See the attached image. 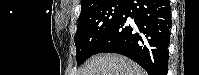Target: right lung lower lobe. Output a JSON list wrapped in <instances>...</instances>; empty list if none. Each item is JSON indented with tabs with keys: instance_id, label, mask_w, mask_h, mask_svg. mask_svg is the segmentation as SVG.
Returning <instances> with one entry per match:
<instances>
[{
	"instance_id": "right-lung-lower-lobe-1",
	"label": "right lung lower lobe",
	"mask_w": 199,
	"mask_h": 75,
	"mask_svg": "<svg viewBox=\"0 0 199 75\" xmlns=\"http://www.w3.org/2000/svg\"><path fill=\"white\" fill-rule=\"evenodd\" d=\"M170 27L169 0H127L119 21L93 55L122 54L149 75H167Z\"/></svg>"
}]
</instances>
